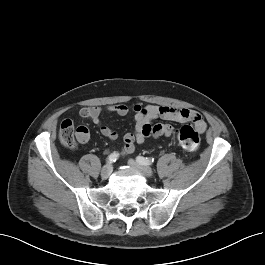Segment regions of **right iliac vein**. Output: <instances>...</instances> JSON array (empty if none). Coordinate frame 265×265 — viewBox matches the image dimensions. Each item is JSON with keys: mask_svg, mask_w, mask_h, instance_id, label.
Here are the masks:
<instances>
[{"mask_svg": "<svg viewBox=\"0 0 265 265\" xmlns=\"http://www.w3.org/2000/svg\"><path fill=\"white\" fill-rule=\"evenodd\" d=\"M111 173H112V165L106 164L105 166H103L101 170V178L103 180H106L110 176Z\"/></svg>", "mask_w": 265, "mask_h": 265, "instance_id": "obj_1", "label": "right iliac vein"}]
</instances>
